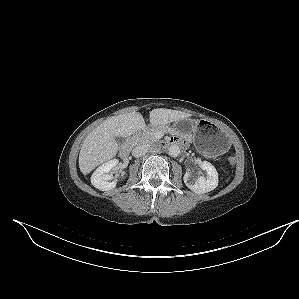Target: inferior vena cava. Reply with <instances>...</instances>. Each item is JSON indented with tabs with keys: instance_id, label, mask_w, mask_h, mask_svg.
<instances>
[{
	"instance_id": "obj_1",
	"label": "inferior vena cava",
	"mask_w": 299,
	"mask_h": 299,
	"mask_svg": "<svg viewBox=\"0 0 299 299\" xmlns=\"http://www.w3.org/2000/svg\"><path fill=\"white\" fill-rule=\"evenodd\" d=\"M151 149L150 145L139 144L132 150V155L136 158H139L145 155Z\"/></svg>"
}]
</instances>
